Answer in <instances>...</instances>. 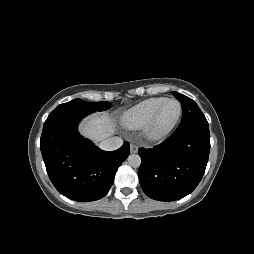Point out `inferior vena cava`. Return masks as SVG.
Segmentation results:
<instances>
[{"instance_id":"602c4592","label":"inferior vena cava","mask_w":254,"mask_h":254,"mask_svg":"<svg viewBox=\"0 0 254 254\" xmlns=\"http://www.w3.org/2000/svg\"><path fill=\"white\" fill-rule=\"evenodd\" d=\"M123 144V140L120 137H111L103 140L99 147L105 151H113L120 148Z\"/></svg>"}]
</instances>
